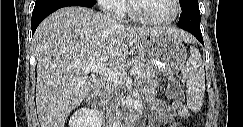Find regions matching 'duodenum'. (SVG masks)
I'll use <instances>...</instances> for the list:
<instances>
[{
	"label": "duodenum",
	"mask_w": 243,
	"mask_h": 127,
	"mask_svg": "<svg viewBox=\"0 0 243 127\" xmlns=\"http://www.w3.org/2000/svg\"><path fill=\"white\" fill-rule=\"evenodd\" d=\"M105 88L103 80H98L95 88L87 97L88 106L95 112L102 110V93ZM143 104L141 101L136 100L127 107L128 114L135 120L143 112Z\"/></svg>",
	"instance_id": "1"
}]
</instances>
